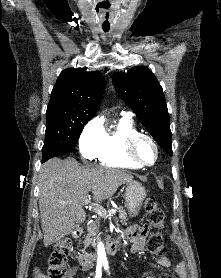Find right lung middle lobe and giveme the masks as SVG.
Segmentation results:
<instances>
[{
	"label": "right lung middle lobe",
	"instance_id": "1",
	"mask_svg": "<svg viewBox=\"0 0 221 278\" xmlns=\"http://www.w3.org/2000/svg\"><path fill=\"white\" fill-rule=\"evenodd\" d=\"M47 126L42 158L50 159L73 148L89 121L88 117L69 118L63 115H46Z\"/></svg>",
	"mask_w": 221,
	"mask_h": 278
}]
</instances>
